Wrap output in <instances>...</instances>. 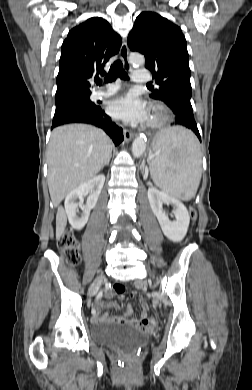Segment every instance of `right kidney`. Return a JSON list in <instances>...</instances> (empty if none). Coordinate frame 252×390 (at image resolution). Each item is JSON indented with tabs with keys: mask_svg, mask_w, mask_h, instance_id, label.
Returning a JSON list of instances; mask_svg holds the SVG:
<instances>
[{
	"mask_svg": "<svg viewBox=\"0 0 252 390\" xmlns=\"http://www.w3.org/2000/svg\"><path fill=\"white\" fill-rule=\"evenodd\" d=\"M104 182L105 176L103 174H100L92 178L91 180L84 182L66 196L65 211L72 228L76 230H81L88 222L90 211L95 207L97 203ZM88 194L89 196L87 198L86 205H80V208L82 209L83 213L81 216H78L77 212L79 205L76 200Z\"/></svg>",
	"mask_w": 252,
	"mask_h": 390,
	"instance_id": "right-kidney-1",
	"label": "right kidney"
}]
</instances>
